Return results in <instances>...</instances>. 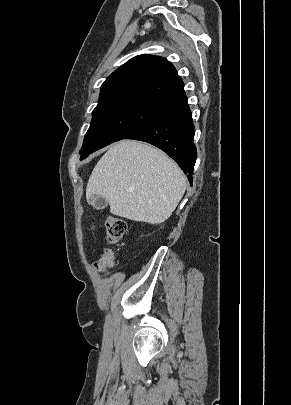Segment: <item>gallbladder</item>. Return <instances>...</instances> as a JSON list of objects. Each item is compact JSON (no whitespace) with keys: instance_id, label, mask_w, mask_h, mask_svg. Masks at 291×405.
<instances>
[{"instance_id":"1","label":"gallbladder","mask_w":291,"mask_h":405,"mask_svg":"<svg viewBox=\"0 0 291 405\" xmlns=\"http://www.w3.org/2000/svg\"><path fill=\"white\" fill-rule=\"evenodd\" d=\"M91 205L97 210H102L107 207L108 202L103 197L95 196L91 199Z\"/></svg>"}]
</instances>
